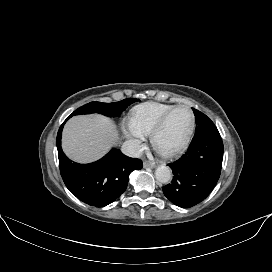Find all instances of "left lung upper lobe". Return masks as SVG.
Listing matches in <instances>:
<instances>
[{
  "label": "left lung upper lobe",
  "instance_id": "obj_1",
  "mask_svg": "<svg viewBox=\"0 0 272 272\" xmlns=\"http://www.w3.org/2000/svg\"><path fill=\"white\" fill-rule=\"evenodd\" d=\"M196 119V130L194 138H198L212 130L217 129L214 123L202 112L193 108Z\"/></svg>",
  "mask_w": 272,
  "mask_h": 272
}]
</instances>
